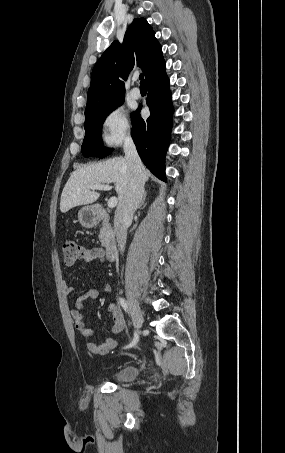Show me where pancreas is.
I'll list each match as a JSON object with an SVG mask.
<instances>
[{
  "mask_svg": "<svg viewBox=\"0 0 285 453\" xmlns=\"http://www.w3.org/2000/svg\"><path fill=\"white\" fill-rule=\"evenodd\" d=\"M111 235H112V228H111L110 224L107 222H103L101 230H100V234H99V240H100L101 244L102 245L107 244Z\"/></svg>",
  "mask_w": 285,
  "mask_h": 453,
  "instance_id": "obj_1",
  "label": "pancreas"
}]
</instances>
